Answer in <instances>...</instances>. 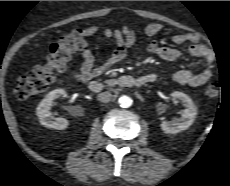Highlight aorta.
<instances>
[{
	"label": "aorta",
	"instance_id": "1",
	"mask_svg": "<svg viewBox=\"0 0 230 186\" xmlns=\"http://www.w3.org/2000/svg\"><path fill=\"white\" fill-rule=\"evenodd\" d=\"M120 107L128 108L132 105V99L129 96H121L118 100Z\"/></svg>",
	"mask_w": 230,
	"mask_h": 186
}]
</instances>
